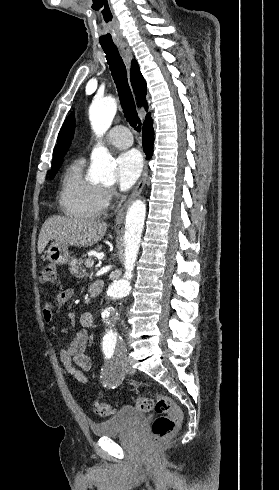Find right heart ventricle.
<instances>
[{"label": "right heart ventricle", "mask_w": 279, "mask_h": 490, "mask_svg": "<svg viewBox=\"0 0 279 490\" xmlns=\"http://www.w3.org/2000/svg\"><path fill=\"white\" fill-rule=\"evenodd\" d=\"M83 161H72L63 174L60 204L66 216L78 220H93L99 216L97 196L100 188L82 175Z\"/></svg>", "instance_id": "1"}]
</instances>
